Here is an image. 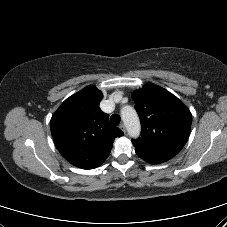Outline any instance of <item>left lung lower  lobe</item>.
I'll return each mask as SVG.
<instances>
[{"label":"left lung lower lobe","mask_w":227,"mask_h":227,"mask_svg":"<svg viewBox=\"0 0 227 227\" xmlns=\"http://www.w3.org/2000/svg\"><path fill=\"white\" fill-rule=\"evenodd\" d=\"M149 163H151V164H159L161 162H149Z\"/></svg>","instance_id":"1"}]
</instances>
